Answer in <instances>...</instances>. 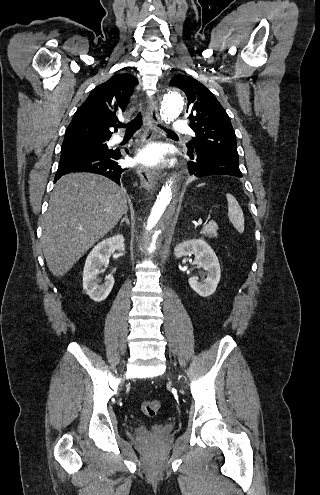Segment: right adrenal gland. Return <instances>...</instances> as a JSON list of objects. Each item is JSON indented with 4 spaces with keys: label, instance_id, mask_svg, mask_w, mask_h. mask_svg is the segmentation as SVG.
Returning a JSON list of instances; mask_svg holds the SVG:
<instances>
[{
    "label": "right adrenal gland",
    "instance_id": "2a0ac1e0",
    "mask_svg": "<svg viewBox=\"0 0 320 495\" xmlns=\"http://www.w3.org/2000/svg\"><path fill=\"white\" fill-rule=\"evenodd\" d=\"M124 222H126L127 225H130V222L128 220L127 212L124 213V217L120 221V226H122Z\"/></svg>",
    "mask_w": 320,
    "mask_h": 495
}]
</instances>
